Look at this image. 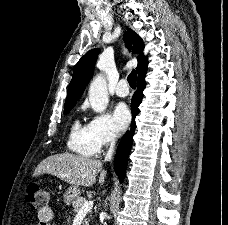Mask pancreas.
I'll return each instance as SVG.
<instances>
[{"mask_svg": "<svg viewBox=\"0 0 228 225\" xmlns=\"http://www.w3.org/2000/svg\"><path fill=\"white\" fill-rule=\"evenodd\" d=\"M84 203H86V199L85 197H78V199H76V201H73V211L75 213V215H77V213H79L81 207H83ZM85 225H89V221L88 219H85Z\"/></svg>", "mask_w": 228, "mask_h": 225, "instance_id": "1", "label": "pancreas"}]
</instances>
